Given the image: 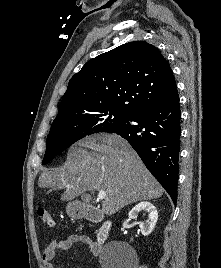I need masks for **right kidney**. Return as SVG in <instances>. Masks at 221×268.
I'll return each instance as SVG.
<instances>
[{
    "mask_svg": "<svg viewBox=\"0 0 221 268\" xmlns=\"http://www.w3.org/2000/svg\"><path fill=\"white\" fill-rule=\"evenodd\" d=\"M143 211L148 214V218L145 222L140 223V231L142 235L148 236L154 229L157 219H158V212L154 205L150 202L144 201L137 204L135 207L131 209L129 212L130 219H136L138 214Z\"/></svg>",
    "mask_w": 221,
    "mask_h": 268,
    "instance_id": "ca27d5eb",
    "label": "right kidney"
}]
</instances>
